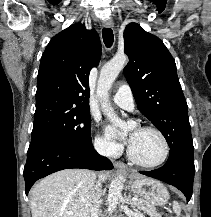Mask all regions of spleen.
<instances>
[{"label": "spleen", "instance_id": "3e777b00", "mask_svg": "<svg viewBox=\"0 0 211 217\" xmlns=\"http://www.w3.org/2000/svg\"><path fill=\"white\" fill-rule=\"evenodd\" d=\"M173 210L177 216H179L181 214V207H180L179 203L176 201L173 202Z\"/></svg>", "mask_w": 211, "mask_h": 217}]
</instances>
